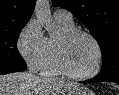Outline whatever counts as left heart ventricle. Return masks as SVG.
<instances>
[{"instance_id": "obj_1", "label": "left heart ventricle", "mask_w": 119, "mask_h": 95, "mask_svg": "<svg viewBox=\"0 0 119 95\" xmlns=\"http://www.w3.org/2000/svg\"><path fill=\"white\" fill-rule=\"evenodd\" d=\"M66 60L70 69L76 73L91 72L97 62V50L86 36L78 35L66 47Z\"/></svg>"}]
</instances>
